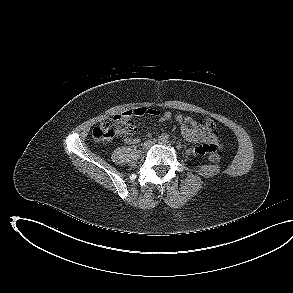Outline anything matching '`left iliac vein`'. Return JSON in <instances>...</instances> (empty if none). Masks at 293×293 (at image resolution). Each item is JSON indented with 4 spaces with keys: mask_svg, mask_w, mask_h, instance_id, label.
<instances>
[{
    "mask_svg": "<svg viewBox=\"0 0 293 293\" xmlns=\"http://www.w3.org/2000/svg\"><path fill=\"white\" fill-rule=\"evenodd\" d=\"M158 143L161 144V145H164V146H170L171 145L168 141H162V140H159Z\"/></svg>",
    "mask_w": 293,
    "mask_h": 293,
    "instance_id": "left-iliac-vein-1",
    "label": "left iliac vein"
}]
</instances>
